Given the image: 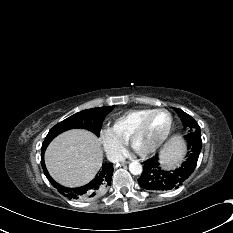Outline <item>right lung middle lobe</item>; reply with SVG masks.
<instances>
[{"mask_svg": "<svg viewBox=\"0 0 233 233\" xmlns=\"http://www.w3.org/2000/svg\"><path fill=\"white\" fill-rule=\"evenodd\" d=\"M114 107L115 106H106L83 110L59 122L50 129L42 144L41 150H45L52 139L66 130L84 128L99 135L103 120Z\"/></svg>", "mask_w": 233, "mask_h": 233, "instance_id": "1", "label": "right lung middle lobe"}]
</instances>
